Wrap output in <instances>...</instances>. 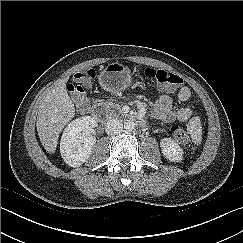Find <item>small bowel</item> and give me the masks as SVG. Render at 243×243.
I'll use <instances>...</instances> for the list:
<instances>
[{
  "label": "small bowel",
  "mask_w": 243,
  "mask_h": 243,
  "mask_svg": "<svg viewBox=\"0 0 243 243\" xmlns=\"http://www.w3.org/2000/svg\"><path fill=\"white\" fill-rule=\"evenodd\" d=\"M190 96V89L183 86L178 91L177 101L179 103H184ZM153 113L155 118L164 122H185L192 116V110L188 106L173 107L172 98L168 94H163L157 99Z\"/></svg>",
  "instance_id": "obj_1"
}]
</instances>
